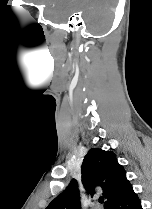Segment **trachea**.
<instances>
[{
  "instance_id": "obj_1",
  "label": "trachea",
  "mask_w": 152,
  "mask_h": 209,
  "mask_svg": "<svg viewBox=\"0 0 152 209\" xmlns=\"http://www.w3.org/2000/svg\"><path fill=\"white\" fill-rule=\"evenodd\" d=\"M99 202H100V203H103V202H104V198H103V197H100V198H99Z\"/></svg>"
}]
</instances>
